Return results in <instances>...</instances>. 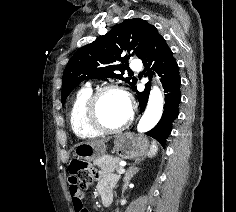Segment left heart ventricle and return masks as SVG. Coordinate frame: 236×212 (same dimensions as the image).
<instances>
[{
    "label": "left heart ventricle",
    "mask_w": 236,
    "mask_h": 212,
    "mask_svg": "<svg viewBox=\"0 0 236 212\" xmlns=\"http://www.w3.org/2000/svg\"><path fill=\"white\" fill-rule=\"evenodd\" d=\"M98 112L103 125L108 128H116L120 126L128 116V102L121 93L110 91L101 97Z\"/></svg>",
    "instance_id": "b2bd125f"
}]
</instances>
